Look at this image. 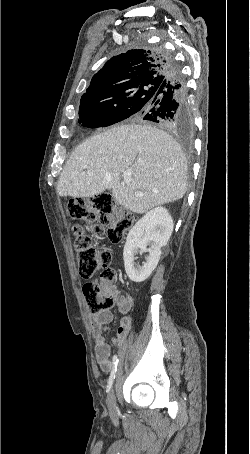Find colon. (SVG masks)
Instances as JSON below:
<instances>
[{"mask_svg":"<svg viewBox=\"0 0 250 454\" xmlns=\"http://www.w3.org/2000/svg\"><path fill=\"white\" fill-rule=\"evenodd\" d=\"M68 212L72 219L84 222L73 228L80 276L91 279L95 273H100L97 280H89L83 286L88 309L95 314L108 311L117 299L114 288L116 271L111 267V253L98 246L96 237L104 234L110 242H120L132 227L133 217L119 210L109 193L71 201Z\"/></svg>","mask_w":250,"mask_h":454,"instance_id":"colon-1","label":"colon"}]
</instances>
